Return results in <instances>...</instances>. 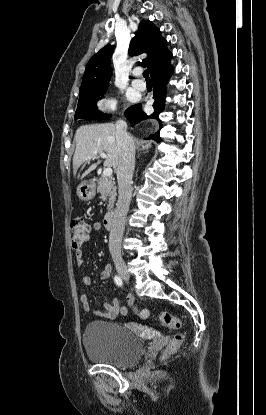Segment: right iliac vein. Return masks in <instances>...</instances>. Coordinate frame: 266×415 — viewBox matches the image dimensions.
Masks as SVG:
<instances>
[{"instance_id": "obj_1", "label": "right iliac vein", "mask_w": 266, "mask_h": 415, "mask_svg": "<svg viewBox=\"0 0 266 415\" xmlns=\"http://www.w3.org/2000/svg\"><path fill=\"white\" fill-rule=\"evenodd\" d=\"M115 266L117 269V272L119 273V275L124 279V280H128L130 275L127 269L126 264L124 263L123 260L121 259H116L115 260Z\"/></svg>"}]
</instances>
